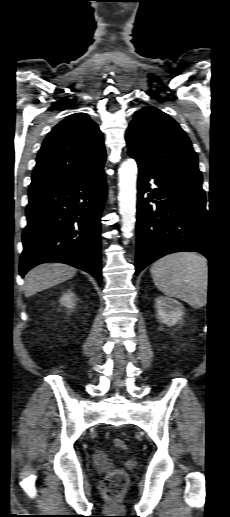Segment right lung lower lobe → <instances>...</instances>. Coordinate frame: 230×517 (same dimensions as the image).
I'll list each match as a JSON object with an SVG mask.
<instances>
[{
	"instance_id": "right-lung-lower-lobe-1",
	"label": "right lung lower lobe",
	"mask_w": 230,
	"mask_h": 517,
	"mask_svg": "<svg viewBox=\"0 0 230 517\" xmlns=\"http://www.w3.org/2000/svg\"><path fill=\"white\" fill-rule=\"evenodd\" d=\"M20 275L45 262L69 264L101 282V213L107 196L104 171L28 194Z\"/></svg>"
}]
</instances>
